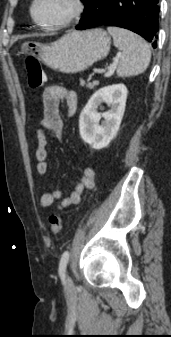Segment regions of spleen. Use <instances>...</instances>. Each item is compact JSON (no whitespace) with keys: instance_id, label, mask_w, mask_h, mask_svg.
Here are the masks:
<instances>
[{"instance_id":"spleen-1","label":"spleen","mask_w":171,"mask_h":337,"mask_svg":"<svg viewBox=\"0 0 171 337\" xmlns=\"http://www.w3.org/2000/svg\"><path fill=\"white\" fill-rule=\"evenodd\" d=\"M114 46L122 51L117 67L119 77H131L143 73L149 66L151 50L139 35L119 27H108Z\"/></svg>"}]
</instances>
